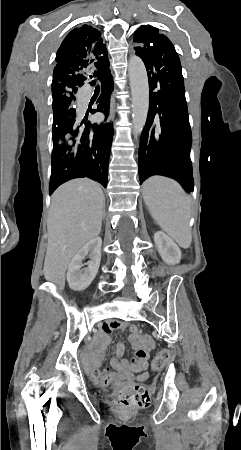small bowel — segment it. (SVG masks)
Here are the masks:
<instances>
[{
	"label": "small bowel",
	"mask_w": 241,
	"mask_h": 450,
	"mask_svg": "<svg viewBox=\"0 0 241 450\" xmlns=\"http://www.w3.org/2000/svg\"><path fill=\"white\" fill-rule=\"evenodd\" d=\"M129 331V342L133 349L131 359L123 358L125 347L122 342L116 346L115 355L110 367L101 371L100 361L110 343V335L114 331ZM156 344L152 336L141 331L136 324L113 320L102 325L98 336L89 344V348L97 347L91 358L87 359L88 369L96 384L122 385L126 383L144 382L148 379L150 351Z\"/></svg>",
	"instance_id": "c3829d8e"
}]
</instances>
